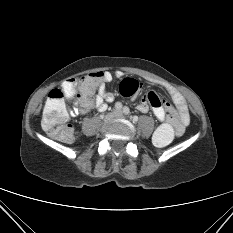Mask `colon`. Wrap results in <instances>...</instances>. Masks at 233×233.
<instances>
[{"instance_id":"colon-1","label":"colon","mask_w":233,"mask_h":233,"mask_svg":"<svg viewBox=\"0 0 233 233\" xmlns=\"http://www.w3.org/2000/svg\"><path fill=\"white\" fill-rule=\"evenodd\" d=\"M102 78V73H91L83 78L82 87L84 93L91 97L98 88ZM139 82L132 78L124 79L120 84V92L124 96H132L139 89ZM70 85L66 87L69 90ZM42 123L49 134L59 141L69 143L73 140L74 130L68 122V112L64 102V94L59 89L50 91L45 104ZM174 138V129L170 124L160 125L154 136L153 141L158 147H165Z\"/></svg>"}]
</instances>
